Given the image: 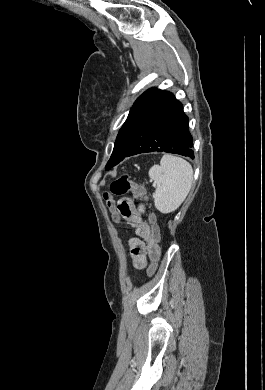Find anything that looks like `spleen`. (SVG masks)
<instances>
[{
    "label": "spleen",
    "instance_id": "1",
    "mask_svg": "<svg viewBox=\"0 0 265 390\" xmlns=\"http://www.w3.org/2000/svg\"><path fill=\"white\" fill-rule=\"evenodd\" d=\"M149 177L157 188L153 194L157 210L163 214L175 211L188 195L192 181V166L184 159L164 154L160 165L149 169Z\"/></svg>",
    "mask_w": 265,
    "mask_h": 390
}]
</instances>
